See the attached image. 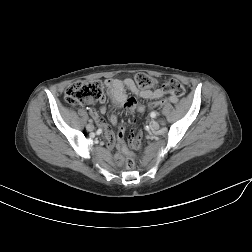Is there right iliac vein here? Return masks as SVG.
I'll use <instances>...</instances> for the list:
<instances>
[{"label": "right iliac vein", "instance_id": "63e3f726", "mask_svg": "<svg viewBox=\"0 0 252 252\" xmlns=\"http://www.w3.org/2000/svg\"><path fill=\"white\" fill-rule=\"evenodd\" d=\"M86 129L89 131V132H92L94 130V126L92 124H88L86 126Z\"/></svg>", "mask_w": 252, "mask_h": 252}]
</instances>
